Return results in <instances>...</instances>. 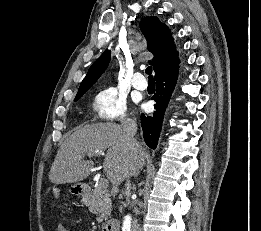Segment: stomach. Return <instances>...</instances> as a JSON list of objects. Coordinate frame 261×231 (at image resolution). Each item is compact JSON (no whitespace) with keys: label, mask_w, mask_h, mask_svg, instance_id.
Masks as SVG:
<instances>
[{"label":"stomach","mask_w":261,"mask_h":231,"mask_svg":"<svg viewBox=\"0 0 261 231\" xmlns=\"http://www.w3.org/2000/svg\"><path fill=\"white\" fill-rule=\"evenodd\" d=\"M82 184H75L70 188V192L74 193V194H80L82 191Z\"/></svg>","instance_id":"0dacf381"}]
</instances>
